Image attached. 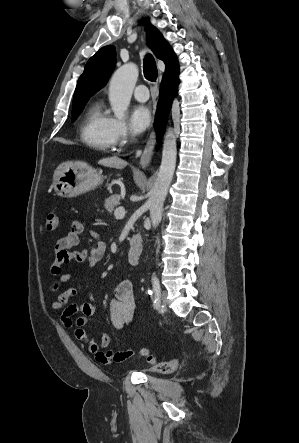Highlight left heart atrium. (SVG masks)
I'll return each mask as SVG.
<instances>
[{
  "mask_svg": "<svg viewBox=\"0 0 299 443\" xmlns=\"http://www.w3.org/2000/svg\"><path fill=\"white\" fill-rule=\"evenodd\" d=\"M151 123V112L147 106H135L131 112L130 124L134 133L144 132Z\"/></svg>",
  "mask_w": 299,
  "mask_h": 443,
  "instance_id": "39dd6f15",
  "label": "left heart atrium"
}]
</instances>
